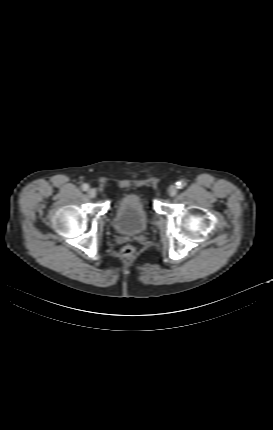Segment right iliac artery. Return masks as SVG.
<instances>
[{
  "label": "right iliac artery",
  "instance_id": "right-iliac-artery-1",
  "mask_svg": "<svg viewBox=\"0 0 273 430\" xmlns=\"http://www.w3.org/2000/svg\"><path fill=\"white\" fill-rule=\"evenodd\" d=\"M88 189H89V185L88 184L85 183V184L82 185V190L83 191H87Z\"/></svg>",
  "mask_w": 273,
  "mask_h": 430
}]
</instances>
